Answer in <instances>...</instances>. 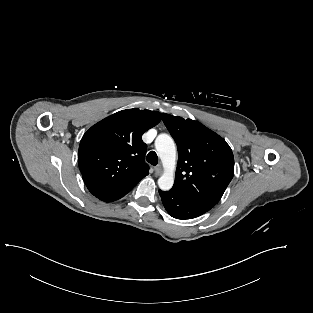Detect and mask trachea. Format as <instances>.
<instances>
[{
    "label": "trachea",
    "instance_id": "1",
    "mask_svg": "<svg viewBox=\"0 0 313 313\" xmlns=\"http://www.w3.org/2000/svg\"><path fill=\"white\" fill-rule=\"evenodd\" d=\"M147 161L151 164V165H157L158 163V156L154 151H150L147 155Z\"/></svg>",
    "mask_w": 313,
    "mask_h": 313
}]
</instances>
